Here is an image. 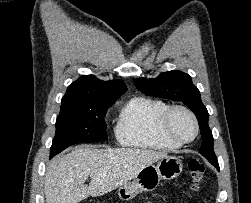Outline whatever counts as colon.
I'll list each match as a JSON object with an SVG mask.
<instances>
[{
  "instance_id": "5ec220e1",
  "label": "colon",
  "mask_w": 251,
  "mask_h": 203,
  "mask_svg": "<svg viewBox=\"0 0 251 203\" xmlns=\"http://www.w3.org/2000/svg\"><path fill=\"white\" fill-rule=\"evenodd\" d=\"M188 170L191 178L190 190L197 191L204 177L205 166L199 160L194 159L189 161Z\"/></svg>"
}]
</instances>
